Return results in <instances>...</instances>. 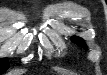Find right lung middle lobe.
<instances>
[{"label": "right lung middle lobe", "instance_id": "right-lung-middle-lobe-1", "mask_svg": "<svg viewBox=\"0 0 107 75\" xmlns=\"http://www.w3.org/2000/svg\"><path fill=\"white\" fill-rule=\"evenodd\" d=\"M9 67L8 60L7 59H2L0 61V73H3L6 71Z\"/></svg>", "mask_w": 107, "mask_h": 75}]
</instances>
